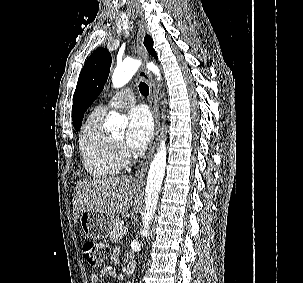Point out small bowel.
<instances>
[{
  "label": "small bowel",
  "mask_w": 303,
  "mask_h": 283,
  "mask_svg": "<svg viewBox=\"0 0 303 283\" xmlns=\"http://www.w3.org/2000/svg\"><path fill=\"white\" fill-rule=\"evenodd\" d=\"M119 258H120V256H119V251H116V252L112 255L111 260H112V262L116 263V262L119 261ZM90 282H91V283H98V275L95 274V273L91 274V275H90Z\"/></svg>",
  "instance_id": "1"
}]
</instances>
